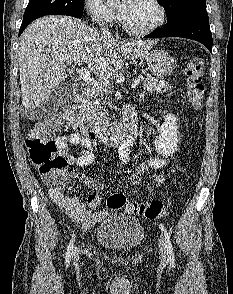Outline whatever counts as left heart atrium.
Wrapping results in <instances>:
<instances>
[{"instance_id": "left-heart-atrium-1", "label": "left heart atrium", "mask_w": 233, "mask_h": 294, "mask_svg": "<svg viewBox=\"0 0 233 294\" xmlns=\"http://www.w3.org/2000/svg\"><path fill=\"white\" fill-rule=\"evenodd\" d=\"M132 2H133V0H124V6L122 8V13L125 12L130 7Z\"/></svg>"}]
</instances>
